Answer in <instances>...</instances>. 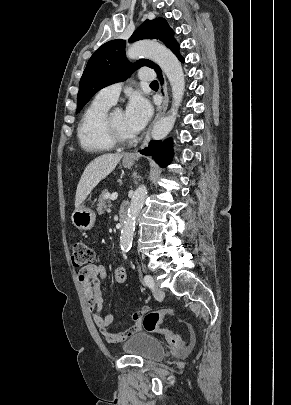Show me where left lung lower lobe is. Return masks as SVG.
Masks as SVG:
<instances>
[{
	"label": "left lung lower lobe",
	"instance_id": "1",
	"mask_svg": "<svg viewBox=\"0 0 291 405\" xmlns=\"http://www.w3.org/2000/svg\"><path fill=\"white\" fill-rule=\"evenodd\" d=\"M181 62H184V58L179 53V44L176 43L170 49ZM158 74V78L161 83L163 82L162 72L160 68L155 69ZM146 156H152L154 160L162 167L169 165L173 159L172 141L171 139L162 141H150V143L142 150L139 151Z\"/></svg>",
	"mask_w": 291,
	"mask_h": 405
}]
</instances>
